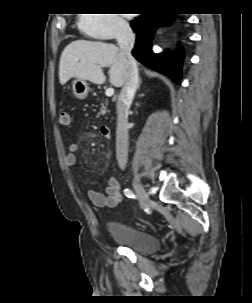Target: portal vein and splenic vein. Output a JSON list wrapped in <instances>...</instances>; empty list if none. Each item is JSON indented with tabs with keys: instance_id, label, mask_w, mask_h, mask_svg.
I'll return each instance as SVG.
<instances>
[{
	"instance_id": "portal-vein-and-splenic-vein-1",
	"label": "portal vein and splenic vein",
	"mask_w": 252,
	"mask_h": 303,
	"mask_svg": "<svg viewBox=\"0 0 252 303\" xmlns=\"http://www.w3.org/2000/svg\"><path fill=\"white\" fill-rule=\"evenodd\" d=\"M107 97H111L114 95V89L113 88H108L105 92Z\"/></svg>"
}]
</instances>
